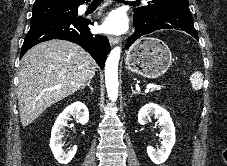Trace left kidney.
<instances>
[{
  "instance_id": "obj_1",
  "label": "left kidney",
  "mask_w": 227,
  "mask_h": 166,
  "mask_svg": "<svg viewBox=\"0 0 227 166\" xmlns=\"http://www.w3.org/2000/svg\"><path fill=\"white\" fill-rule=\"evenodd\" d=\"M153 115L158 119L159 123L162 126V131L160 133L162 142L158 150H155L153 147L148 146L147 153L153 163L162 164L167 160L175 144V127L169 112L154 103H148L140 109L138 113L139 124H147L150 120V117Z\"/></svg>"
}]
</instances>
